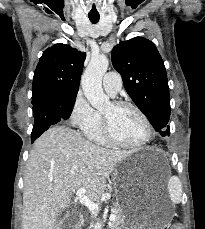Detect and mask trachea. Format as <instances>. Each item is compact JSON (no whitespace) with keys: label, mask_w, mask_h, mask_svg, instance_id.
<instances>
[{"label":"trachea","mask_w":205,"mask_h":229,"mask_svg":"<svg viewBox=\"0 0 205 229\" xmlns=\"http://www.w3.org/2000/svg\"><path fill=\"white\" fill-rule=\"evenodd\" d=\"M88 17L93 24H96L100 19L99 15H89Z\"/></svg>","instance_id":"3493384b"}]
</instances>
